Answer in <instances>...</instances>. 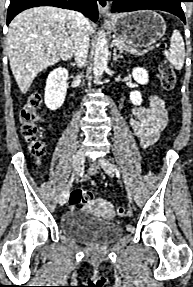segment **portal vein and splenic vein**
Instances as JSON below:
<instances>
[{"label": "portal vein and splenic vein", "instance_id": "18ae733b", "mask_svg": "<svg viewBox=\"0 0 193 287\" xmlns=\"http://www.w3.org/2000/svg\"><path fill=\"white\" fill-rule=\"evenodd\" d=\"M113 45L118 46V45H119V42H118L117 40H114V41H113Z\"/></svg>", "mask_w": 193, "mask_h": 287}]
</instances>
